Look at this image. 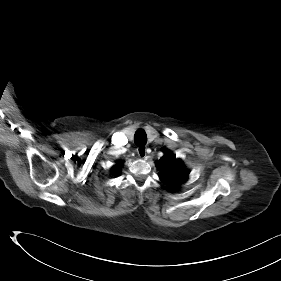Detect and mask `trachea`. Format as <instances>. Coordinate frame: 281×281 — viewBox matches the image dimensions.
I'll return each instance as SVG.
<instances>
[{
    "label": "trachea",
    "mask_w": 281,
    "mask_h": 281,
    "mask_svg": "<svg viewBox=\"0 0 281 281\" xmlns=\"http://www.w3.org/2000/svg\"><path fill=\"white\" fill-rule=\"evenodd\" d=\"M134 142L138 146H143L147 142V135L143 129H139L136 131L134 135Z\"/></svg>",
    "instance_id": "trachea-1"
}]
</instances>
